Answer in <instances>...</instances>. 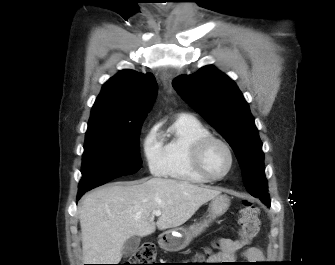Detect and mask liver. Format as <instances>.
<instances>
[{
	"instance_id": "1",
	"label": "liver",
	"mask_w": 335,
	"mask_h": 265,
	"mask_svg": "<svg viewBox=\"0 0 335 265\" xmlns=\"http://www.w3.org/2000/svg\"><path fill=\"white\" fill-rule=\"evenodd\" d=\"M220 193L162 178L116 183L90 192L79 209L84 264H118L127 239L148 236L156 227L177 228ZM156 210L161 215L155 223Z\"/></svg>"
}]
</instances>
